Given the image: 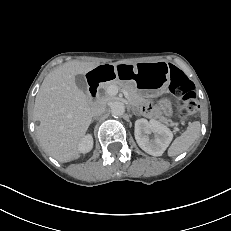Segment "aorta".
I'll list each match as a JSON object with an SVG mask.
<instances>
[{"mask_svg": "<svg viewBox=\"0 0 231 231\" xmlns=\"http://www.w3.org/2000/svg\"><path fill=\"white\" fill-rule=\"evenodd\" d=\"M110 108L113 116H121L125 112V105L123 102L120 101L112 102Z\"/></svg>", "mask_w": 231, "mask_h": 231, "instance_id": "1", "label": "aorta"}]
</instances>
